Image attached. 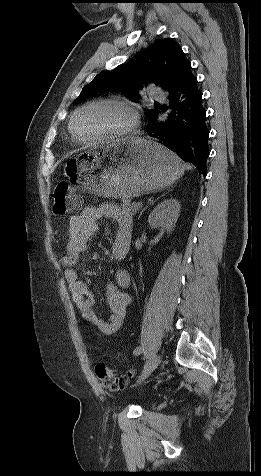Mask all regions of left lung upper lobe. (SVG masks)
<instances>
[{
  "mask_svg": "<svg viewBox=\"0 0 261 476\" xmlns=\"http://www.w3.org/2000/svg\"><path fill=\"white\" fill-rule=\"evenodd\" d=\"M190 65L176 41L170 38L158 39L127 64L97 74L83 87L74 103L107 91L125 92L129 99L135 101L139 98L138 89L148 83L160 85L170 92ZM146 114L150 122L157 117L158 111L146 110Z\"/></svg>",
  "mask_w": 261,
  "mask_h": 476,
  "instance_id": "1",
  "label": "left lung upper lobe"
}]
</instances>
